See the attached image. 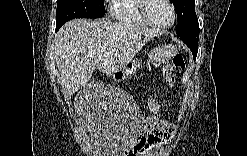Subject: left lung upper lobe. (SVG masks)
Wrapping results in <instances>:
<instances>
[{
  "label": "left lung upper lobe",
  "mask_w": 247,
  "mask_h": 156,
  "mask_svg": "<svg viewBox=\"0 0 247 156\" xmlns=\"http://www.w3.org/2000/svg\"><path fill=\"white\" fill-rule=\"evenodd\" d=\"M172 3L177 12V35L182 39L188 37L191 32L199 30L198 18L195 13V1L172 0Z\"/></svg>",
  "instance_id": "left-lung-upper-lobe-1"
}]
</instances>
